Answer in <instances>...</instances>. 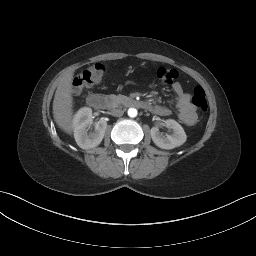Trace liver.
Instances as JSON below:
<instances>
[{"label": "liver", "mask_w": 256, "mask_h": 256, "mask_svg": "<svg viewBox=\"0 0 256 256\" xmlns=\"http://www.w3.org/2000/svg\"><path fill=\"white\" fill-rule=\"evenodd\" d=\"M74 71L65 74L58 84L53 100V117L58 125L67 134L73 132V97L72 81Z\"/></svg>", "instance_id": "1"}]
</instances>
